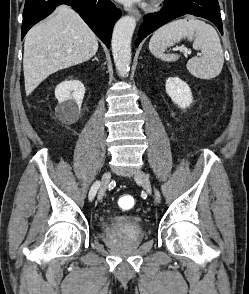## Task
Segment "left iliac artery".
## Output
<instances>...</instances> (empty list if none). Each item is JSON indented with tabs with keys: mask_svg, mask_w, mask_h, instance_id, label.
Masks as SVG:
<instances>
[{
	"mask_svg": "<svg viewBox=\"0 0 249 294\" xmlns=\"http://www.w3.org/2000/svg\"><path fill=\"white\" fill-rule=\"evenodd\" d=\"M156 196H157V199L159 200V193L158 192H156Z\"/></svg>",
	"mask_w": 249,
	"mask_h": 294,
	"instance_id": "left-iliac-artery-1",
	"label": "left iliac artery"
}]
</instances>
